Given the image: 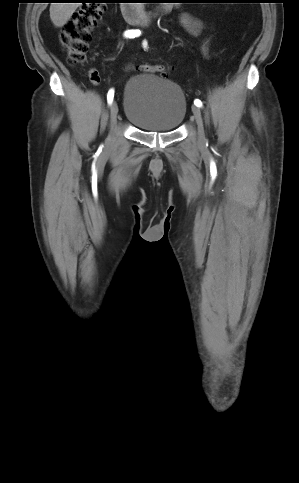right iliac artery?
I'll return each mask as SVG.
<instances>
[{
	"instance_id": "right-iliac-artery-1",
	"label": "right iliac artery",
	"mask_w": 299,
	"mask_h": 483,
	"mask_svg": "<svg viewBox=\"0 0 299 483\" xmlns=\"http://www.w3.org/2000/svg\"><path fill=\"white\" fill-rule=\"evenodd\" d=\"M140 34H141V31L139 29L127 30V31H125L124 36L128 37V38H135V37L140 36ZM113 98H114V90L110 89L108 94H107V101H108L109 104L112 103Z\"/></svg>"
}]
</instances>
